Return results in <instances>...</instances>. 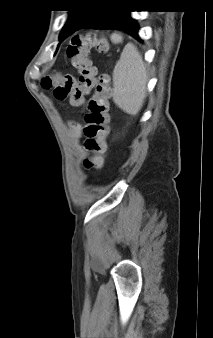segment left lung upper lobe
Segmentation results:
<instances>
[{"label":"left lung upper lobe","instance_id":"5c2ea615","mask_svg":"<svg viewBox=\"0 0 213 338\" xmlns=\"http://www.w3.org/2000/svg\"><path fill=\"white\" fill-rule=\"evenodd\" d=\"M84 9H74L70 12V15L67 19L66 24L64 25L61 33H60V39L59 41L62 42L67 36L66 33L71 26V24L84 12Z\"/></svg>","mask_w":213,"mask_h":338}]
</instances>
